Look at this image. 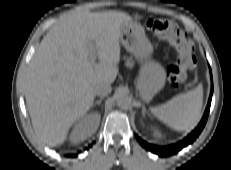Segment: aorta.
<instances>
[{
	"instance_id": "obj_1",
	"label": "aorta",
	"mask_w": 231,
	"mask_h": 170,
	"mask_svg": "<svg viewBox=\"0 0 231 170\" xmlns=\"http://www.w3.org/2000/svg\"><path fill=\"white\" fill-rule=\"evenodd\" d=\"M116 102L117 105L122 109H129L132 107V99L126 93L118 94Z\"/></svg>"
}]
</instances>
